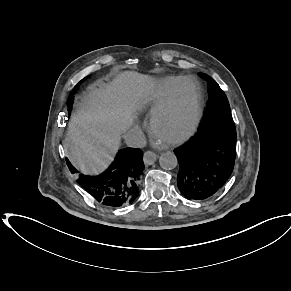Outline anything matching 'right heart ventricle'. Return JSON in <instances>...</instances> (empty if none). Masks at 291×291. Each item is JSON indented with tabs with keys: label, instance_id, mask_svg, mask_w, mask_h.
I'll return each mask as SVG.
<instances>
[{
	"label": "right heart ventricle",
	"instance_id": "e07e8e85",
	"mask_svg": "<svg viewBox=\"0 0 291 291\" xmlns=\"http://www.w3.org/2000/svg\"><path fill=\"white\" fill-rule=\"evenodd\" d=\"M180 79V77H168L150 88L147 102L145 105L148 114H154V112L160 107V105L164 101L168 92Z\"/></svg>",
	"mask_w": 291,
	"mask_h": 291
}]
</instances>
